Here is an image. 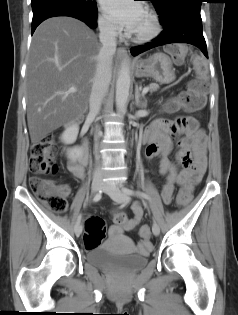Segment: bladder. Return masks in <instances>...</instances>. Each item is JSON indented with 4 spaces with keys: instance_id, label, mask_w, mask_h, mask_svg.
<instances>
[{
    "instance_id": "1",
    "label": "bladder",
    "mask_w": 238,
    "mask_h": 315,
    "mask_svg": "<svg viewBox=\"0 0 238 315\" xmlns=\"http://www.w3.org/2000/svg\"><path fill=\"white\" fill-rule=\"evenodd\" d=\"M103 249L91 247L87 250L86 261L99 268L117 269L125 272L136 271L147 264L149 252L134 254V256H103Z\"/></svg>"
}]
</instances>
